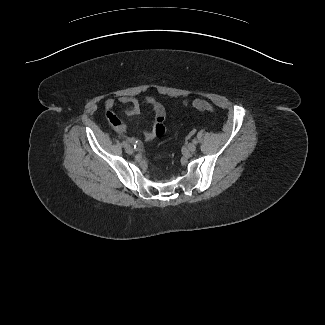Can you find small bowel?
<instances>
[{
	"mask_svg": "<svg viewBox=\"0 0 325 325\" xmlns=\"http://www.w3.org/2000/svg\"><path fill=\"white\" fill-rule=\"evenodd\" d=\"M143 103L150 109L153 115L152 126L144 134L145 140H151L154 137L162 136L165 132V107L152 97H146L143 100ZM118 105H123L127 107L128 113L130 115H138L141 112V103L138 99L128 96H120L116 100L109 98L105 101V107L107 109V118L109 119L110 123L117 132L125 134L127 132L126 126L124 125L123 121L112 112V110L115 109ZM129 140L133 141L134 139L129 138Z\"/></svg>",
	"mask_w": 325,
	"mask_h": 325,
	"instance_id": "c3829d8e",
	"label": "small bowel"
}]
</instances>
